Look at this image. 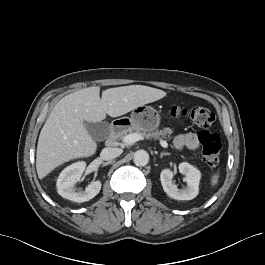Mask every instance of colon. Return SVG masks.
<instances>
[{
	"label": "colon",
	"instance_id": "colon-1",
	"mask_svg": "<svg viewBox=\"0 0 265 265\" xmlns=\"http://www.w3.org/2000/svg\"><path fill=\"white\" fill-rule=\"evenodd\" d=\"M170 114L177 118L189 117L201 129L198 139L202 147L203 158L210 168H216L219 164L221 139L217 133L208 130L215 121L214 112L206 107L187 109L175 106L171 108Z\"/></svg>",
	"mask_w": 265,
	"mask_h": 265
}]
</instances>
